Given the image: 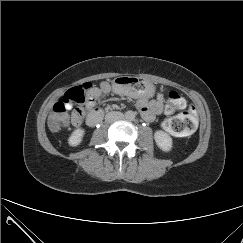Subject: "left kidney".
<instances>
[{
  "mask_svg": "<svg viewBox=\"0 0 243 243\" xmlns=\"http://www.w3.org/2000/svg\"><path fill=\"white\" fill-rule=\"evenodd\" d=\"M154 139L157 146L164 152H169L172 149V138L166 132L157 130L154 133Z\"/></svg>",
  "mask_w": 243,
  "mask_h": 243,
  "instance_id": "5707ae66",
  "label": "left kidney"
}]
</instances>
